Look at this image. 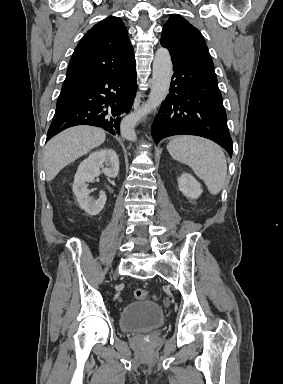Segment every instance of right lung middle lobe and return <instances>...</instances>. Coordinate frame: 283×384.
Listing matches in <instances>:
<instances>
[{
  "mask_svg": "<svg viewBox=\"0 0 283 384\" xmlns=\"http://www.w3.org/2000/svg\"><path fill=\"white\" fill-rule=\"evenodd\" d=\"M69 92H61L58 98V101L63 99Z\"/></svg>",
  "mask_w": 283,
  "mask_h": 384,
  "instance_id": "right-lung-middle-lobe-1",
  "label": "right lung middle lobe"
}]
</instances>
